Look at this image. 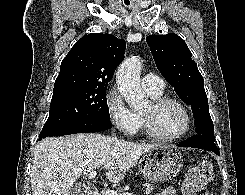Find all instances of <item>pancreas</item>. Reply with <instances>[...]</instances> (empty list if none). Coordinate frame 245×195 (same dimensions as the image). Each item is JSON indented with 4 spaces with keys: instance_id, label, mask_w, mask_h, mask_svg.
Here are the masks:
<instances>
[{
    "instance_id": "pancreas-1",
    "label": "pancreas",
    "mask_w": 245,
    "mask_h": 195,
    "mask_svg": "<svg viewBox=\"0 0 245 195\" xmlns=\"http://www.w3.org/2000/svg\"><path fill=\"white\" fill-rule=\"evenodd\" d=\"M142 186L145 188L146 190V194H150L153 190H154V185H152L151 183H142ZM125 190L123 188H119L117 189L116 192H120V193H123ZM102 195H105V193H102Z\"/></svg>"
}]
</instances>
